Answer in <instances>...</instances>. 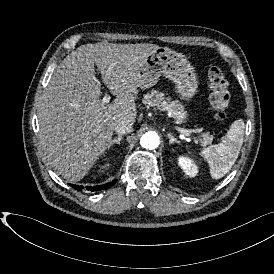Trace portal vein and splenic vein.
Returning a JSON list of instances; mask_svg holds the SVG:
<instances>
[{
    "mask_svg": "<svg viewBox=\"0 0 274 274\" xmlns=\"http://www.w3.org/2000/svg\"><path fill=\"white\" fill-rule=\"evenodd\" d=\"M110 99H111V97L109 95H105L102 98L101 103L103 105H106L110 102ZM176 130L182 134V136H183L182 139H185L186 136H189L190 132H191L190 130H187V129H184V128H181V127H176Z\"/></svg>",
    "mask_w": 274,
    "mask_h": 274,
    "instance_id": "portal-vein-and-splenic-vein-1",
    "label": "portal vein and splenic vein"
}]
</instances>
